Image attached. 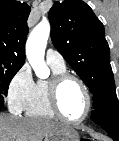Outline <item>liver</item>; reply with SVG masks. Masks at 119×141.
<instances>
[{
	"label": "liver",
	"instance_id": "obj_1",
	"mask_svg": "<svg viewBox=\"0 0 119 141\" xmlns=\"http://www.w3.org/2000/svg\"><path fill=\"white\" fill-rule=\"evenodd\" d=\"M62 127L63 124L48 119L0 114V141H42Z\"/></svg>",
	"mask_w": 119,
	"mask_h": 141
}]
</instances>
